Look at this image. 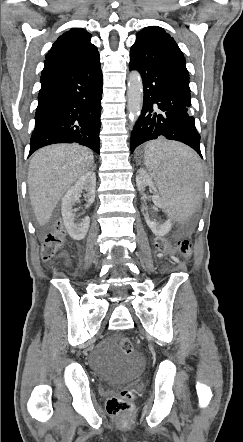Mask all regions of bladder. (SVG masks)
Here are the masks:
<instances>
[{
  "label": "bladder",
  "instance_id": "bladder-1",
  "mask_svg": "<svg viewBox=\"0 0 243 442\" xmlns=\"http://www.w3.org/2000/svg\"><path fill=\"white\" fill-rule=\"evenodd\" d=\"M142 364V359L139 356L128 354L120 356L116 363L114 381L117 383H126L134 380L139 375Z\"/></svg>",
  "mask_w": 243,
  "mask_h": 442
}]
</instances>
